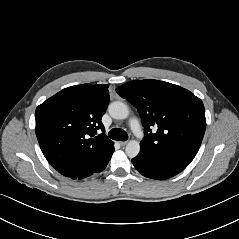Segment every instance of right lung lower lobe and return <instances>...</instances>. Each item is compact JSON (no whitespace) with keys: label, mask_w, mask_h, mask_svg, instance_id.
Here are the masks:
<instances>
[{"label":"right lung lower lobe","mask_w":239,"mask_h":239,"mask_svg":"<svg viewBox=\"0 0 239 239\" xmlns=\"http://www.w3.org/2000/svg\"><path fill=\"white\" fill-rule=\"evenodd\" d=\"M113 152H114V147L111 149V152L109 153V155L98 166L88 169L83 173L73 175V176H71V178L72 179H83L88 176H91L94 173H99V172L103 171L105 169V167L107 166Z\"/></svg>","instance_id":"obj_1"}]
</instances>
